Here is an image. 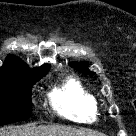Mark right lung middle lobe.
<instances>
[{"instance_id": "dd1d6c3e", "label": "right lung middle lobe", "mask_w": 136, "mask_h": 136, "mask_svg": "<svg viewBox=\"0 0 136 136\" xmlns=\"http://www.w3.org/2000/svg\"><path fill=\"white\" fill-rule=\"evenodd\" d=\"M44 75L0 80V126L31 116V88Z\"/></svg>"}]
</instances>
